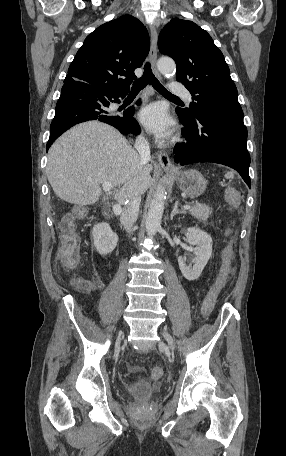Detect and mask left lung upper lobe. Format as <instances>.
Listing matches in <instances>:
<instances>
[{
  "mask_svg": "<svg viewBox=\"0 0 286 456\" xmlns=\"http://www.w3.org/2000/svg\"><path fill=\"white\" fill-rule=\"evenodd\" d=\"M158 47L175 60L177 81L193 96L190 107L181 109L188 117L203 109L243 117L229 67L205 30L192 21L174 18L161 30Z\"/></svg>",
  "mask_w": 286,
  "mask_h": 456,
  "instance_id": "obj_1",
  "label": "left lung upper lobe"
}]
</instances>
